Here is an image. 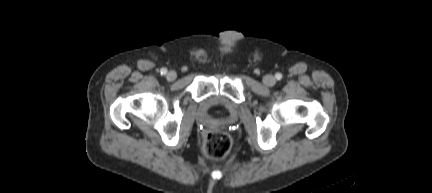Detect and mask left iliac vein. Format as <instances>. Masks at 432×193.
Returning <instances> with one entry per match:
<instances>
[{"instance_id": "left-iliac-vein-1", "label": "left iliac vein", "mask_w": 432, "mask_h": 193, "mask_svg": "<svg viewBox=\"0 0 432 193\" xmlns=\"http://www.w3.org/2000/svg\"><path fill=\"white\" fill-rule=\"evenodd\" d=\"M263 83L266 86H273L276 83V79H275V77L273 75H266L263 78Z\"/></svg>"}]
</instances>
